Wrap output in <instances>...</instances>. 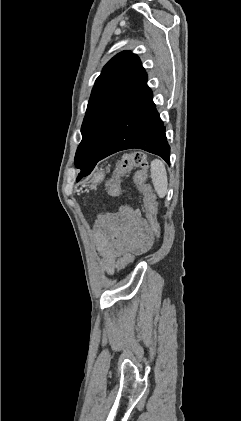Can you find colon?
<instances>
[{
	"label": "colon",
	"mask_w": 241,
	"mask_h": 421,
	"mask_svg": "<svg viewBox=\"0 0 241 421\" xmlns=\"http://www.w3.org/2000/svg\"><path fill=\"white\" fill-rule=\"evenodd\" d=\"M139 167L135 173L134 181L143 195V203L146 216L154 230L158 235L160 233V225L157 219V202L156 197L150 187L146 183L148 164L145 155L142 152H131L125 154L117 163L111 177L106 182L107 194L110 197H118L121 192L120 178L131 171L133 168ZM134 261V256L126 254L122 256L117 263V270L121 271Z\"/></svg>",
	"instance_id": "1"
}]
</instances>
